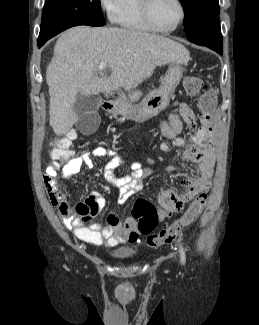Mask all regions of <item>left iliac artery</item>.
Returning a JSON list of instances; mask_svg holds the SVG:
<instances>
[{"label": "left iliac artery", "instance_id": "44dca946", "mask_svg": "<svg viewBox=\"0 0 259 325\" xmlns=\"http://www.w3.org/2000/svg\"><path fill=\"white\" fill-rule=\"evenodd\" d=\"M180 259H181L182 264H185L186 255H185V250L182 246H180Z\"/></svg>", "mask_w": 259, "mask_h": 325}]
</instances>
